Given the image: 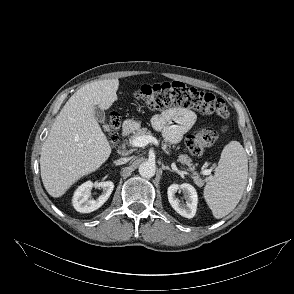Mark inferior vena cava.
I'll return each instance as SVG.
<instances>
[{
    "mask_svg": "<svg viewBox=\"0 0 294 294\" xmlns=\"http://www.w3.org/2000/svg\"><path fill=\"white\" fill-rule=\"evenodd\" d=\"M130 160V158H120L116 161L117 164H125Z\"/></svg>",
    "mask_w": 294,
    "mask_h": 294,
    "instance_id": "602c4592",
    "label": "inferior vena cava"
}]
</instances>
